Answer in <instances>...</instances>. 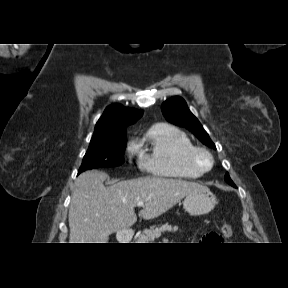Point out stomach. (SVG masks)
I'll list each match as a JSON object with an SVG mask.
<instances>
[{
	"mask_svg": "<svg viewBox=\"0 0 288 288\" xmlns=\"http://www.w3.org/2000/svg\"><path fill=\"white\" fill-rule=\"evenodd\" d=\"M216 204V196L207 187L203 186L188 194L183 201L185 210L191 215L207 214L215 207ZM119 235L123 237L122 241H126V238L129 236L126 232Z\"/></svg>",
	"mask_w": 288,
	"mask_h": 288,
	"instance_id": "1",
	"label": "stomach"
}]
</instances>
